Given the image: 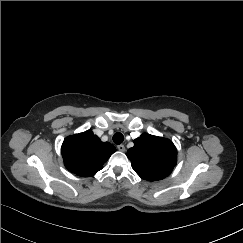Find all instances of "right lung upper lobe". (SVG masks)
I'll return each mask as SVG.
<instances>
[{"label":"right lung upper lobe","instance_id":"1","mask_svg":"<svg viewBox=\"0 0 243 243\" xmlns=\"http://www.w3.org/2000/svg\"><path fill=\"white\" fill-rule=\"evenodd\" d=\"M116 151L109 142H102L91 130L67 137L62 144L65 167L81 177L95 175Z\"/></svg>","mask_w":243,"mask_h":243}]
</instances>
